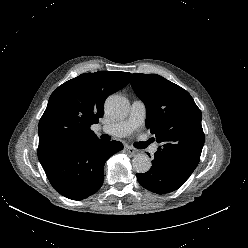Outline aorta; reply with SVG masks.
I'll list each match as a JSON object with an SVG mask.
<instances>
[{
  "label": "aorta",
  "instance_id": "aorta-1",
  "mask_svg": "<svg viewBox=\"0 0 248 248\" xmlns=\"http://www.w3.org/2000/svg\"><path fill=\"white\" fill-rule=\"evenodd\" d=\"M106 111L114 118H124L129 111L128 100L120 95H111L105 101ZM137 173H146L151 168L150 158L146 154H137L132 160Z\"/></svg>",
  "mask_w": 248,
  "mask_h": 248
}]
</instances>
